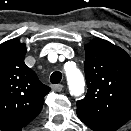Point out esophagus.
<instances>
[{
  "instance_id": "esophagus-1",
  "label": "esophagus",
  "mask_w": 131,
  "mask_h": 131,
  "mask_svg": "<svg viewBox=\"0 0 131 131\" xmlns=\"http://www.w3.org/2000/svg\"><path fill=\"white\" fill-rule=\"evenodd\" d=\"M62 89H63V85L62 84L52 85V90H54V91L60 92V91H62Z\"/></svg>"
}]
</instances>
